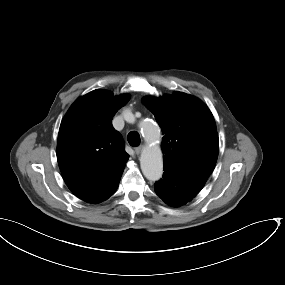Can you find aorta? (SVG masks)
Here are the masks:
<instances>
[{"label": "aorta", "instance_id": "1", "mask_svg": "<svg viewBox=\"0 0 285 285\" xmlns=\"http://www.w3.org/2000/svg\"><path fill=\"white\" fill-rule=\"evenodd\" d=\"M141 133L148 143L140 157L143 175L150 181H157L163 174V157L161 148L152 143L160 140V128L151 120H143L140 125Z\"/></svg>", "mask_w": 285, "mask_h": 285}]
</instances>
